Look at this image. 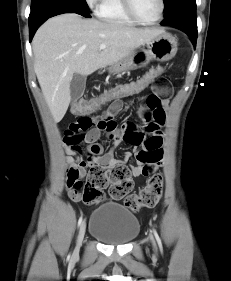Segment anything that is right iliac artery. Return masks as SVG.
<instances>
[{
    "instance_id": "1",
    "label": "right iliac artery",
    "mask_w": 231,
    "mask_h": 281,
    "mask_svg": "<svg viewBox=\"0 0 231 281\" xmlns=\"http://www.w3.org/2000/svg\"><path fill=\"white\" fill-rule=\"evenodd\" d=\"M82 224V216L79 218L78 220V227ZM69 258H70V255H69Z\"/></svg>"
}]
</instances>
